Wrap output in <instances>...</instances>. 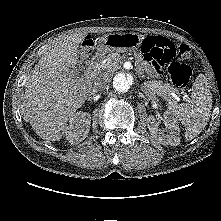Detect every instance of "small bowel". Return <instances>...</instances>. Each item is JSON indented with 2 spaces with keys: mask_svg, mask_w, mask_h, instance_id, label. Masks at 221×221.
Segmentation results:
<instances>
[{
  "mask_svg": "<svg viewBox=\"0 0 221 221\" xmlns=\"http://www.w3.org/2000/svg\"><path fill=\"white\" fill-rule=\"evenodd\" d=\"M149 37H153L155 39H167V38L161 37V36H149ZM139 64H140L141 68H143L144 70L148 71L149 73H152L155 70L156 71L158 70L151 62L147 61L145 57H143L140 60Z\"/></svg>",
  "mask_w": 221,
  "mask_h": 221,
  "instance_id": "c3829d8e",
  "label": "small bowel"
}]
</instances>
